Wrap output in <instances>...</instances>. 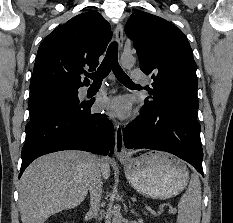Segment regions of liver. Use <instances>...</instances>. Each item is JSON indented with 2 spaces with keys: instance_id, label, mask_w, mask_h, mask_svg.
<instances>
[{
  "instance_id": "6515ba94",
  "label": "liver",
  "mask_w": 233,
  "mask_h": 223,
  "mask_svg": "<svg viewBox=\"0 0 233 223\" xmlns=\"http://www.w3.org/2000/svg\"><path fill=\"white\" fill-rule=\"evenodd\" d=\"M96 157L87 151H56L35 159L19 181L22 223H44L50 215L77 207L88 191ZM104 179L110 177L106 157L99 161Z\"/></svg>"
}]
</instances>
